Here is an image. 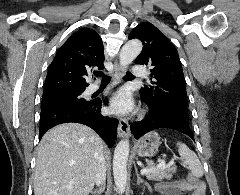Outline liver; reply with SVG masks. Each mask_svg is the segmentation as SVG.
Instances as JSON below:
<instances>
[{
    "label": "liver",
    "instance_id": "6515ba94",
    "mask_svg": "<svg viewBox=\"0 0 240 195\" xmlns=\"http://www.w3.org/2000/svg\"><path fill=\"white\" fill-rule=\"evenodd\" d=\"M104 143L88 125L60 123L43 135L34 173L35 195H88Z\"/></svg>",
    "mask_w": 240,
    "mask_h": 195
}]
</instances>
